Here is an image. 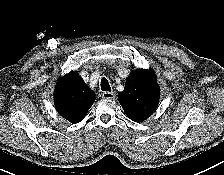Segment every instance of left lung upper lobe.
I'll return each mask as SVG.
<instances>
[{"label": "left lung upper lobe", "instance_id": "left-lung-upper-lobe-1", "mask_svg": "<svg viewBox=\"0 0 224 175\" xmlns=\"http://www.w3.org/2000/svg\"><path fill=\"white\" fill-rule=\"evenodd\" d=\"M159 96L153 71L137 69L126 79L125 89L118 94V100L131 120L143 122L155 112Z\"/></svg>", "mask_w": 224, "mask_h": 175}]
</instances>
